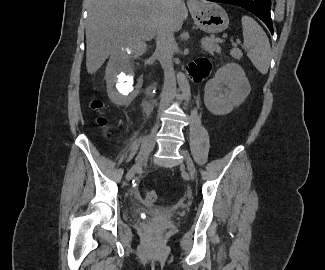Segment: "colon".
Wrapping results in <instances>:
<instances>
[{
	"label": "colon",
	"instance_id": "colon-1",
	"mask_svg": "<svg viewBox=\"0 0 325 270\" xmlns=\"http://www.w3.org/2000/svg\"><path fill=\"white\" fill-rule=\"evenodd\" d=\"M102 106H103L102 102L99 100H94L92 102V107L95 109H101ZM98 122L100 125H104L106 123V119L103 117H100L98 119ZM144 198H145L146 203H153V202L157 201L158 195H157L156 191H154V190H147L145 192Z\"/></svg>",
	"mask_w": 325,
	"mask_h": 270
}]
</instances>
